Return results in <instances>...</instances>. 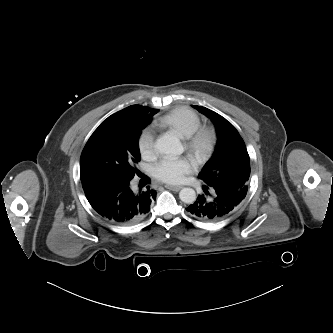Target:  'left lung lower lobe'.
<instances>
[{
    "label": "left lung lower lobe",
    "mask_w": 333,
    "mask_h": 333,
    "mask_svg": "<svg viewBox=\"0 0 333 333\" xmlns=\"http://www.w3.org/2000/svg\"><path fill=\"white\" fill-rule=\"evenodd\" d=\"M203 190L205 195H199L186 210L194 217L204 221L221 220L232 213L244 199L241 191H236L223 184L212 186L206 184Z\"/></svg>",
    "instance_id": "obj_1"
}]
</instances>
